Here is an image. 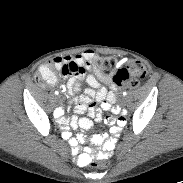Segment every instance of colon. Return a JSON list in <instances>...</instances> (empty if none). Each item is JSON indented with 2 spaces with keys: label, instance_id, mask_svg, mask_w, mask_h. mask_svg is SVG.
I'll list each match as a JSON object with an SVG mask.
<instances>
[{
  "label": "colon",
  "instance_id": "obj_1",
  "mask_svg": "<svg viewBox=\"0 0 183 183\" xmlns=\"http://www.w3.org/2000/svg\"><path fill=\"white\" fill-rule=\"evenodd\" d=\"M97 69L105 76L112 75L114 84L119 87L134 89L147 75L146 66L139 61H118L114 56H102L97 60ZM56 71L61 75H69L77 71L76 66L64 65L61 70L47 68L39 70L37 81L42 85H49L56 79ZM108 161H96L93 157L88 159L87 167L95 170L97 167H105Z\"/></svg>",
  "mask_w": 183,
  "mask_h": 183
}]
</instances>
